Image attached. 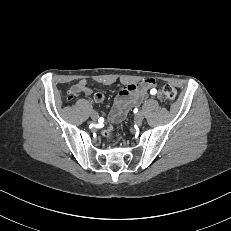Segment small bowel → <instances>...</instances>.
<instances>
[{
	"label": "small bowel",
	"instance_id": "1",
	"mask_svg": "<svg viewBox=\"0 0 231 231\" xmlns=\"http://www.w3.org/2000/svg\"><path fill=\"white\" fill-rule=\"evenodd\" d=\"M154 85L155 81L153 79H145L139 83L126 85L114 101L109 113L110 119L113 121L122 119L131 107L136 106L141 102L144 96L149 93V90L154 88ZM70 93L75 95L82 93L89 96L92 94V90L88 87L85 79H80L71 87ZM93 98L97 103H102L105 99L101 92L94 93ZM158 98H161L160 94H158Z\"/></svg>",
	"mask_w": 231,
	"mask_h": 231
}]
</instances>
